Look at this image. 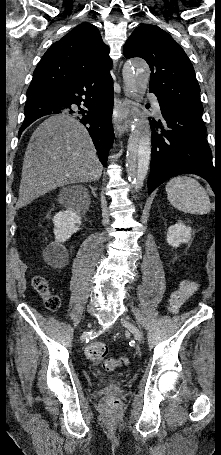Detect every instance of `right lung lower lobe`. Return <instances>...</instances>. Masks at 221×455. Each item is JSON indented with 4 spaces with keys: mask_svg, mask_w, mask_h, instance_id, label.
Masks as SVG:
<instances>
[{
    "mask_svg": "<svg viewBox=\"0 0 221 455\" xmlns=\"http://www.w3.org/2000/svg\"><path fill=\"white\" fill-rule=\"evenodd\" d=\"M113 80L105 69H99L73 78L49 93L27 100L25 119L19 135L32 122L49 114H66L79 118L92 137L98 157L106 165L109 148L113 143L111 124L114 102ZM78 105L79 109L75 108ZM83 105L84 108H81Z\"/></svg>",
    "mask_w": 221,
    "mask_h": 455,
    "instance_id": "98d812e1",
    "label": "right lung lower lobe"
}]
</instances>
